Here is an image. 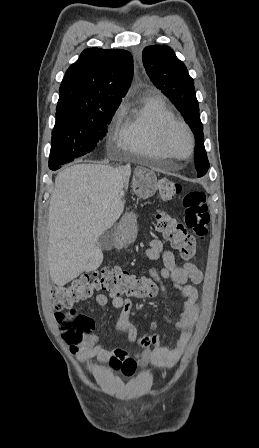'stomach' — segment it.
Returning a JSON list of instances; mask_svg holds the SVG:
<instances>
[{
  "mask_svg": "<svg viewBox=\"0 0 259 448\" xmlns=\"http://www.w3.org/2000/svg\"><path fill=\"white\" fill-rule=\"evenodd\" d=\"M138 220L137 212H126L124 218H122L120 224H118L115 232L116 238L122 244H131L135 242L137 238V226Z\"/></svg>",
  "mask_w": 259,
  "mask_h": 448,
  "instance_id": "stomach-1",
  "label": "stomach"
}]
</instances>
